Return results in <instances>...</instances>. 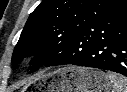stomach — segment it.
I'll return each mask as SVG.
<instances>
[{"mask_svg":"<svg viewBox=\"0 0 127 92\" xmlns=\"http://www.w3.org/2000/svg\"><path fill=\"white\" fill-rule=\"evenodd\" d=\"M45 92H109L112 83L102 71L67 66L44 77Z\"/></svg>","mask_w":127,"mask_h":92,"instance_id":"obj_1","label":"stomach"}]
</instances>
